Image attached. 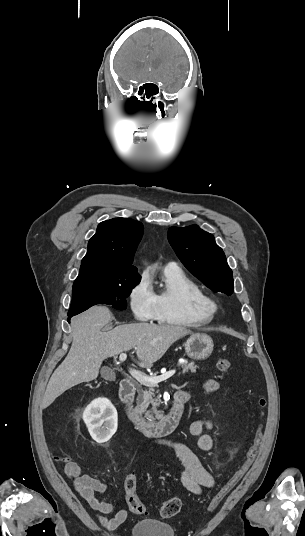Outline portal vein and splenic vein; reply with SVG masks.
I'll use <instances>...</instances> for the list:
<instances>
[{
  "label": "portal vein and splenic vein",
  "instance_id": "1",
  "mask_svg": "<svg viewBox=\"0 0 305 536\" xmlns=\"http://www.w3.org/2000/svg\"><path fill=\"white\" fill-rule=\"evenodd\" d=\"M127 358V354H120L119 360L120 362H125ZM179 362H183V360H179ZM176 370H170V372H161L162 376H146V374H143V372H138V370H129V374H131L132 378H135L137 382H140V384H144V386H148V384H154V386H157L158 382H164V380H168V378H171V376H174Z\"/></svg>",
  "mask_w": 305,
  "mask_h": 536
}]
</instances>
